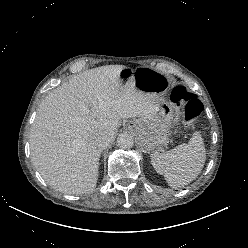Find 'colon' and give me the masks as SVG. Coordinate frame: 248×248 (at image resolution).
I'll return each mask as SVG.
<instances>
[{
    "label": "colon",
    "mask_w": 248,
    "mask_h": 248,
    "mask_svg": "<svg viewBox=\"0 0 248 248\" xmlns=\"http://www.w3.org/2000/svg\"><path fill=\"white\" fill-rule=\"evenodd\" d=\"M171 98L174 102L181 103L183 120L188 125H192L202 110L200 101L183 86L175 87L172 90Z\"/></svg>",
    "instance_id": "obj_1"
}]
</instances>
